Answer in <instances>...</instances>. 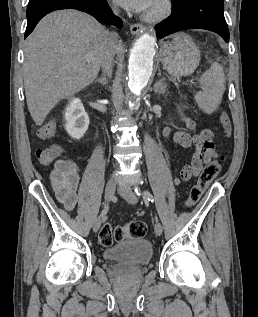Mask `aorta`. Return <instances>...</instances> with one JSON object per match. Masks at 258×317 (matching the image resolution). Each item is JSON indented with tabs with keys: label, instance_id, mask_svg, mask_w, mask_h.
<instances>
[{
	"label": "aorta",
	"instance_id": "aorta-1",
	"mask_svg": "<svg viewBox=\"0 0 258 317\" xmlns=\"http://www.w3.org/2000/svg\"><path fill=\"white\" fill-rule=\"evenodd\" d=\"M155 45V37L143 34L136 40L130 53L128 87L134 96L130 98L129 103L136 110L140 107L137 96H140L152 74Z\"/></svg>",
	"mask_w": 258,
	"mask_h": 317
}]
</instances>
